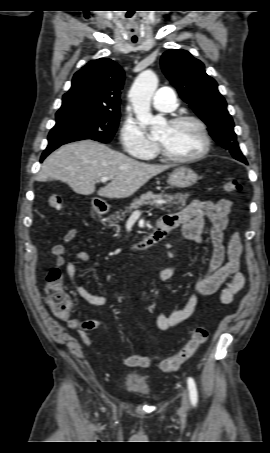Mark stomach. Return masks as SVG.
Masks as SVG:
<instances>
[{
  "instance_id": "1",
  "label": "stomach",
  "mask_w": 270,
  "mask_h": 453,
  "mask_svg": "<svg viewBox=\"0 0 270 453\" xmlns=\"http://www.w3.org/2000/svg\"><path fill=\"white\" fill-rule=\"evenodd\" d=\"M197 180L198 175L192 169L178 167L170 174L168 184L175 188H188L194 185Z\"/></svg>"
}]
</instances>
